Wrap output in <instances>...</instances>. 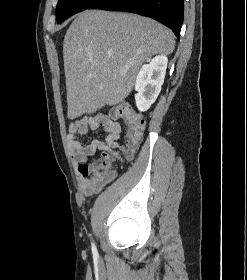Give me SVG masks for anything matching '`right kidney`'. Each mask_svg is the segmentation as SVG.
<instances>
[{"label":"right kidney","mask_w":247,"mask_h":280,"mask_svg":"<svg viewBox=\"0 0 247 280\" xmlns=\"http://www.w3.org/2000/svg\"><path fill=\"white\" fill-rule=\"evenodd\" d=\"M149 64H145L140 69L135 83L136 105L139 111L148 110L157 99L161 86L164 82L168 59L165 55H158L148 59Z\"/></svg>","instance_id":"1"}]
</instances>
